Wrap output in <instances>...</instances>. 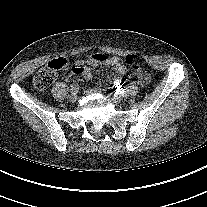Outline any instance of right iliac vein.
<instances>
[{"label":"right iliac vein","mask_w":207,"mask_h":207,"mask_svg":"<svg viewBox=\"0 0 207 207\" xmlns=\"http://www.w3.org/2000/svg\"><path fill=\"white\" fill-rule=\"evenodd\" d=\"M77 100V93H71L69 96V101L70 102H75Z\"/></svg>","instance_id":"obj_1"}]
</instances>
